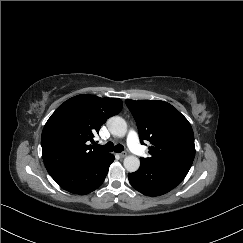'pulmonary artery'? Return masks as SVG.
Returning a JSON list of instances; mask_svg holds the SVG:
<instances>
[{
  "mask_svg": "<svg viewBox=\"0 0 243 243\" xmlns=\"http://www.w3.org/2000/svg\"><path fill=\"white\" fill-rule=\"evenodd\" d=\"M127 143L132 149L135 150L136 154H139L138 148L140 147V145L138 135L135 131H129V133L127 134Z\"/></svg>",
  "mask_w": 243,
  "mask_h": 243,
  "instance_id": "pulmonary-artery-1",
  "label": "pulmonary artery"
}]
</instances>
